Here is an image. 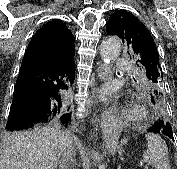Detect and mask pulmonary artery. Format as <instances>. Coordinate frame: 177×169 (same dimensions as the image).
<instances>
[{
  "mask_svg": "<svg viewBox=\"0 0 177 169\" xmlns=\"http://www.w3.org/2000/svg\"><path fill=\"white\" fill-rule=\"evenodd\" d=\"M116 65L118 67L126 68V67H128V62L126 60H124V59H118L116 61Z\"/></svg>",
  "mask_w": 177,
  "mask_h": 169,
  "instance_id": "e3ab8cb5",
  "label": "pulmonary artery"
}]
</instances>
